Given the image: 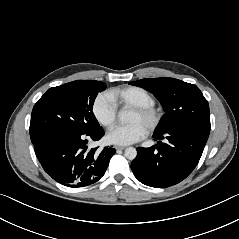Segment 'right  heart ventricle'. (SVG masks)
Segmentation results:
<instances>
[{
	"instance_id": "right-heart-ventricle-1",
	"label": "right heart ventricle",
	"mask_w": 239,
	"mask_h": 239,
	"mask_svg": "<svg viewBox=\"0 0 239 239\" xmlns=\"http://www.w3.org/2000/svg\"><path fill=\"white\" fill-rule=\"evenodd\" d=\"M116 106L137 107L154 106L153 96L145 89L136 86L125 87L109 93Z\"/></svg>"
}]
</instances>
